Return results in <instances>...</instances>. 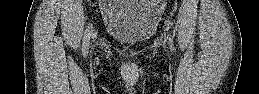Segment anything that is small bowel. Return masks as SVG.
I'll return each instance as SVG.
<instances>
[{
  "label": "small bowel",
  "mask_w": 259,
  "mask_h": 94,
  "mask_svg": "<svg viewBox=\"0 0 259 94\" xmlns=\"http://www.w3.org/2000/svg\"><path fill=\"white\" fill-rule=\"evenodd\" d=\"M159 6H160V8H161V10H162V6L159 4V3H157Z\"/></svg>",
  "instance_id": "obj_1"
}]
</instances>
